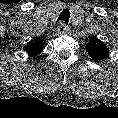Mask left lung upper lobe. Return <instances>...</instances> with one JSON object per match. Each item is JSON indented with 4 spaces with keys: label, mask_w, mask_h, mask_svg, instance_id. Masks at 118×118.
Here are the masks:
<instances>
[{
    "label": "left lung upper lobe",
    "mask_w": 118,
    "mask_h": 118,
    "mask_svg": "<svg viewBox=\"0 0 118 118\" xmlns=\"http://www.w3.org/2000/svg\"><path fill=\"white\" fill-rule=\"evenodd\" d=\"M85 48L92 60L96 62L105 60L109 55L107 46L96 37L92 38Z\"/></svg>",
    "instance_id": "left-lung-upper-lobe-1"
}]
</instances>
